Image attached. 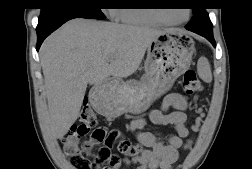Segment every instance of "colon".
Listing matches in <instances>:
<instances>
[{"label": "colon", "instance_id": "colon-1", "mask_svg": "<svg viewBox=\"0 0 252 169\" xmlns=\"http://www.w3.org/2000/svg\"><path fill=\"white\" fill-rule=\"evenodd\" d=\"M182 86L188 95L202 91V84L194 69L184 72ZM79 121V125L74 126L62 139L66 154L75 169H114L120 158L112 153V147H116L121 155L132 157L139 155L141 147L123 137L117 129L106 127L96 129L93 135L102 144L97 149H94L90 142L80 143V138L96 124V116L88 104L81 108Z\"/></svg>", "mask_w": 252, "mask_h": 169}]
</instances>
